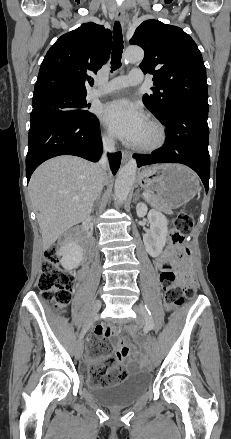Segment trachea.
Here are the masks:
<instances>
[{"label":"trachea","mask_w":231,"mask_h":439,"mask_svg":"<svg viewBox=\"0 0 231 439\" xmlns=\"http://www.w3.org/2000/svg\"><path fill=\"white\" fill-rule=\"evenodd\" d=\"M123 35L121 30V25L119 22L114 24L113 29V48L111 55V69L112 71L121 67V58L123 52Z\"/></svg>","instance_id":"1"}]
</instances>
